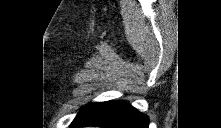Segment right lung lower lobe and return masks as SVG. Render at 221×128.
Masks as SVG:
<instances>
[{
	"instance_id": "right-lung-lower-lobe-1",
	"label": "right lung lower lobe",
	"mask_w": 221,
	"mask_h": 128,
	"mask_svg": "<svg viewBox=\"0 0 221 128\" xmlns=\"http://www.w3.org/2000/svg\"><path fill=\"white\" fill-rule=\"evenodd\" d=\"M149 118L126 101H108L83 108L71 127L148 128Z\"/></svg>"
}]
</instances>
